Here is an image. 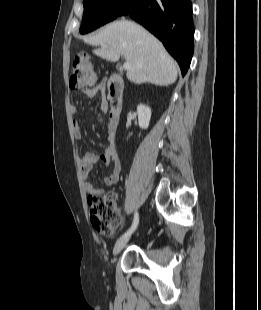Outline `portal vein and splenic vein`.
<instances>
[{
    "label": "portal vein and splenic vein",
    "instance_id": "1",
    "mask_svg": "<svg viewBox=\"0 0 261 310\" xmlns=\"http://www.w3.org/2000/svg\"><path fill=\"white\" fill-rule=\"evenodd\" d=\"M130 67H131V65H130V63H128V62H125V63L123 64V68H124L125 70L130 69Z\"/></svg>",
    "mask_w": 261,
    "mask_h": 310
}]
</instances>
